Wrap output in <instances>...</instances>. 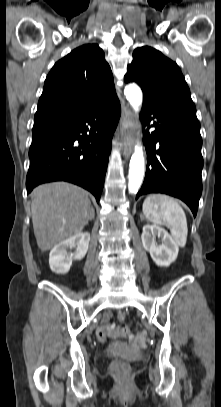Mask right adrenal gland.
<instances>
[{"label": "right adrenal gland", "mask_w": 221, "mask_h": 407, "mask_svg": "<svg viewBox=\"0 0 221 407\" xmlns=\"http://www.w3.org/2000/svg\"><path fill=\"white\" fill-rule=\"evenodd\" d=\"M92 211H93L92 219H94V217H95V211H94V209H92Z\"/></svg>", "instance_id": "1"}]
</instances>
